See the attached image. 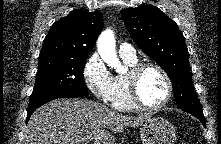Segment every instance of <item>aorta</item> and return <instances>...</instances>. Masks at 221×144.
I'll return each instance as SVG.
<instances>
[{
  "mask_svg": "<svg viewBox=\"0 0 221 144\" xmlns=\"http://www.w3.org/2000/svg\"><path fill=\"white\" fill-rule=\"evenodd\" d=\"M97 49L102 60L118 73H124L126 67L117 57L114 32L107 29L101 33L97 41Z\"/></svg>",
  "mask_w": 221,
  "mask_h": 144,
  "instance_id": "762f6f07",
  "label": "aorta"
}]
</instances>
